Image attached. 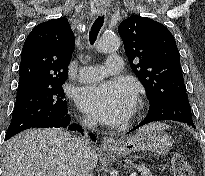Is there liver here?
I'll use <instances>...</instances> for the list:
<instances>
[{
	"mask_svg": "<svg viewBox=\"0 0 205 176\" xmlns=\"http://www.w3.org/2000/svg\"><path fill=\"white\" fill-rule=\"evenodd\" d=\"M73 139L61 129L22 132L6 144L3 176H77L80 166ZM87 159L95 168V151Z\"/></svg>",
	"mask_w": 205,
	"mask_h": 176,
	"instance_id": "6515ba94",
	"label": "liver"
}]
</instances>
